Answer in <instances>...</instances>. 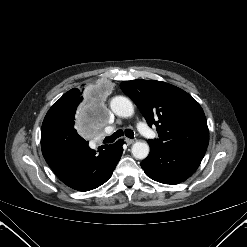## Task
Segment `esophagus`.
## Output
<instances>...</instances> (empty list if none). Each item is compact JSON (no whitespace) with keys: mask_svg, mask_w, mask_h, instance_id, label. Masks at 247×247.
<instances>
[{"mask_svg":"<svg viewBox=\"0 0 247 247\" xmlns=\"http://www.w3.org/2000/svg\"><path fill=\"white\" fill-rule=\"evenodd\" d=\"M125 142L127 145L133 144L134 140L133 139H129V138H125Z\"/></svg>","mask_w":247,"mask_h":247,"instance_id":"esophagus-1","label":"esophagus"}]
</instances>
